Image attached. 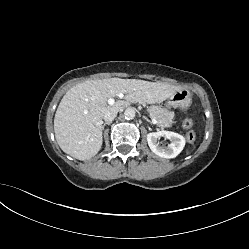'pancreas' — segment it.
Masks as SVG:
<instances>
[{
  "instance_id": "obj_1",
  "label": "pancreas",
  "mask_w": 249,
  "mask_h": 249,
  "mask_svg": "<svg viewBox=\"0 0 249 249\" xmlns=\"http://www.w3.org/2000/svg\"><path fill=\"white\" fill-rule=\"evenodd\" d=\"M150 117L157 120V125L161 128L172 127L174 113L170 112L160 106H150L148 108Z\"/></svg>"
}]
</instances>
